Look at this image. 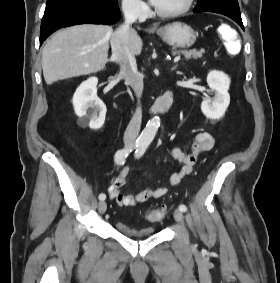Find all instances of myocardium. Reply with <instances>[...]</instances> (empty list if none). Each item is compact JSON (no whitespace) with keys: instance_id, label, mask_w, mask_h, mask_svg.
<instances>
[{"instance_id":"1","label":"myocardium","mask_w":280,"mask_h":283,"mask_svg":"<svg viewBox=\"0 0 280 283\" xmlns=\"http://www.w3.org/2000/svg\"><path fill=\"white\" fill-rule=\"evenodd\" d=\"M193 3H194V0H185L183 5L180 8L175 9L173 11L164 12V11L158 10L156 7L154 8V11L161 18H174V17H178V16H181L187 13L193 6Z\"/></svg>"}]
</instances>
